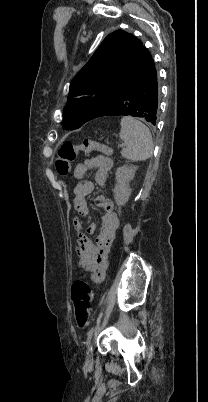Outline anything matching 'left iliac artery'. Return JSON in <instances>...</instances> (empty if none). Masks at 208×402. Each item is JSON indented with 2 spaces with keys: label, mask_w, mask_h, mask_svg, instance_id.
Masks as SVG:
<instances>
[{
  "label": "left iliac artery",
  "mask_w": 208,
  "mask_h": 402,
  "mask_svg": "<svg viewBox=\"0 0 208 402\" xmlns=\"http://www.w3.org/2000/svg\"><path fill=\"white\" fill-rule=\"evenodd\" d=\"M93 332H94V327H92V328L89 330L88 334H87V340H86V346H87V347H89V345H90Z\"/></svg>",
  "instance_id": "left-iliac-artery-1"
}]
</instances>
